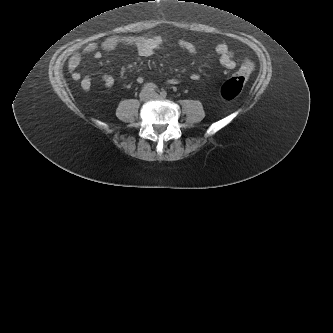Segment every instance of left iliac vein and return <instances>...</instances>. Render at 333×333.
Wrapping results in <instances>:
<instances>
[{"label":"left iliac vein","mask_w":333,"mask_h":333,"mask_svg":"<svg viewBox=\"0 0 333 333\" xmlns=\"http://www.w3.org/2000/svg\"><path fill=\"white\" fill-rule=\"evenodd\" d=\"M152 95H153V98H155V99L164 98L163 96L158 95L157 93H152Z\"/></svg>","instance_id":"4c4485c4"}]
</instances>
